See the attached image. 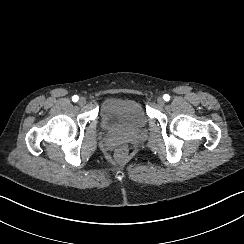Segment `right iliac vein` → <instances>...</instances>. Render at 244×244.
Wrapping results in <instances>:
<instances>
[{"label":"right iliac vein","instance_id":"right-iliac-vein-1","mask_svg":"<svg viewBox=\"0 0 244 244\" xmlns=\"http://www.w3.org/2000/svg\"><path fill=\"white\" fill-rule=\"evenodd\" d=\"M86 102H87V100H86V98H84V97H81V98L79 99V104H80L81 106H84V105L86 104Z\"/></svg>","mask_w":244,"mask_h":244}]
</instances>
